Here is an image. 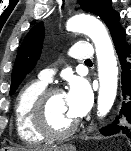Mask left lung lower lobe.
I'll return each mask as SVG.
<instances>
[{"mask_svg": "<svg viewBox=\"0 0 131 151\" xmlns=\"http://www.w3.org/2000/svg\"><path fill=\"white\" fill-rule=\"evenodd\" d=\"M125 32L113 38L116 52L122 67L121 88L123 102L113 121L100 132L104 136L125 135L131 138V45L125 40Z\"/></svg>", "mask_w": 131, "mask_h": 151, "instance_id": "0a47b994", "label": "left lung lower lobe"}]
</instances>
